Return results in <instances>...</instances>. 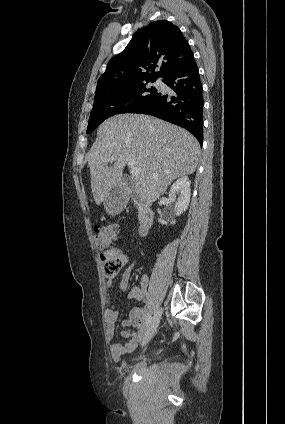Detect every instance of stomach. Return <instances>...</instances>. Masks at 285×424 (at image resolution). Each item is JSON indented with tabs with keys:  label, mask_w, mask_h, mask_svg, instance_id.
Here are the masks:
<instances>
[{
	"label": "stomach",
	"mask_w": 285,
	"mask_h": 424,
	"mask_svg": "<svg viewBox=\"0 0 285 424\" xmlns=\"http://www.w3.org/2000/svg\"><path fill=\"white\" fill-rule=\"evenodd\" d=\"M104 207L110 215L118 213L122 207L121 197L115 191H110L104 199Z\"/></svg>",
	"instance_id": "1"
}]
</instances>
